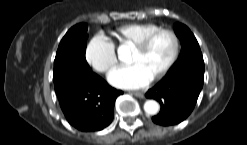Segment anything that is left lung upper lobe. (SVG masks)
<instances>
[{
    "label": "left lung upper lobe",
    "instance_id": "1",
    "mask_svg": "<svg viewBox=\"0 0 247 145\" xmlns=\"http://www.w3.org/2000/svg\"><path fill=\"white\" fill-rule=\"evenodd\" d=\"M174 30L181 41L182 50L181 56L174 64L173 68L186 62H203L199 44L190 29L183 24L176 23L174 25Z\"/></svg>",
    "mask_w": 247,
    "mask_h": 145
}]
</instances>
